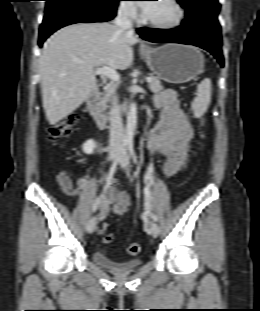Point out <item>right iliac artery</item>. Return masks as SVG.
<instances>
[{"label": "right iliac artery", "mask_w": 260, "mask_h": 311, "mask_svg": "<svg viewBox=\"0 0 260 311\" xmlns=\"http://www.w3.org/2000/svg\"><path fill=\"white\" fill-rule=\"evenodd\" d=\"M127 145H128L127 141H123L122 144L120 145L119 151H118V158L112 163V165L110 167V170H109L108 175L106 177V184H105V186L103 188L102 193L95 200V203H94V206H93V211H95L98 208V206L101 203L102 198L104 197V194L106 193L107 189L109 188L110 181L113 178V175H114V173L116 171V168H117V163H118L119 156L123 153V151L125 150Z\"/></svg>", "instance_id": "obj_1"}]
</instances>
